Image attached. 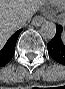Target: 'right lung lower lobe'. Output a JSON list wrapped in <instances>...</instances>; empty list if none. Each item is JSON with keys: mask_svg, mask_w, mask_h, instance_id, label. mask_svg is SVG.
<instances>
[{"mask_svg": "<svg viewBox=\"0 0 65 89\" xmlns=\"http://www.w3.org/2000/svg\"><path fill=\"white\" fill-rule=\"evenodd\" d=\"M22 29L13 34L3 46L0 45V67L5 66L14 56L16 41Z\"/></svg>", "mask_w": 65, "mask_h": 89, "instance_id": "98d812e1", "label": "right lung lower lobe"}]
</instances>
